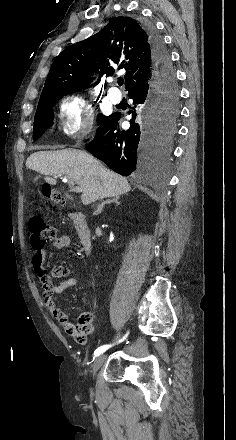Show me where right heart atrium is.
Listing matches in <instances>:
<instances>
[{
    "instance_id": "1",
    "label": "right heart atrium",
    "mask_w": 236,
    "mask_h": 440,
    "mask_svg": "<svg viewBox=\"0 0 236 440\" xmlns=\"http://www.w3.org/2000/svg\"><path fill=\"white\" fill-rule=\"evenodd\" d=\"M58 120L62 132L74 139L88 135L93 127L91 106L79 94L62 97L58 106Z\"/></svg>"
}]
</instances>
